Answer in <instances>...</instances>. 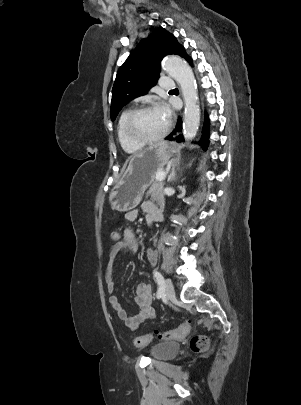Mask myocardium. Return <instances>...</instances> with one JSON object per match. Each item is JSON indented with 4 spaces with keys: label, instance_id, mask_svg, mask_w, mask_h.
Wrapping results in <instances>:
<instances>
[{
    "label": "myocardium",
    "instance_id": "myocardium-1",
    "mask_svg": "<svg viewBox=\"0 0 301 405\" xmlns=\"http://www.w3.org/2000/svg\"><path fill=\"white\" fill-rule=\"evenodd\" d=\"M152 109H154L152 106L143 105V106H140V107L130 111V113L128 114L126 122H125V134L132 143H134L136 145H140V146L153 144V143H156V142L162 140L169 133L170 128H171V122L169 120H167V124H166L165 128L163 129V131L155 137L141 138L134 133L133 124H134L136 117L139 114H141L145 111H148V110H152Z\"/></svg>",
    "mask_w": 301,
    "mask_h": 405
}]
</instances>
